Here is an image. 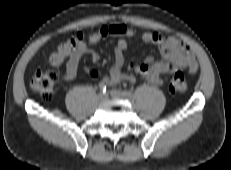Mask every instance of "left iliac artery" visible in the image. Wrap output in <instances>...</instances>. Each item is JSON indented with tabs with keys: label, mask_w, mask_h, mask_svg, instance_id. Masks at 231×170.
<instances>
[{
	"label": "left iliac artery",
	"mask_w": 231,
	"mask_h": 170,
	"mask_svg": "<svg viewBox=\"0 0 231 170\" xmlns=\"http://www.w3.org/2000/svg\"><path fill=\"white\" fill-rule=\"evenodd\" d=\"M123 94L126 98H130L132 96V93L130 91H127V90L123 91Z\"/></svg>",
	"instance_id": "obj_1"
}]
</instances>
